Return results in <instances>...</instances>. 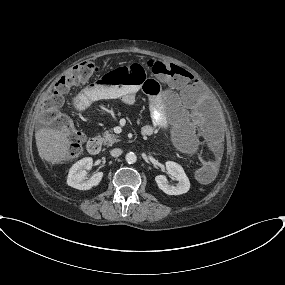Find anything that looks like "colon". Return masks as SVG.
<instances>
[{
	"instance_id": "colon-1",
	"label": "colon",
	"mask_w": 285,
	"mask_h": 285,
	"mask_svg": "<svg viewBox=\"0 0 285 285\" xmlns=\"http://www.w3.org/2000/svg\"><path fill=\"white\" fill-rule=\"evenodd\" d=\"M145 69L163 80H174L182 73V69L174 64L148 60L144 63L131 62L128 65L104 73L99 85L103 87H122L128 83L139 85L150 98H158L160 89L156 81L146 80ZM97 72L92 61H82L62 76L47 92L40 102V116L43 119L59 123L71 131L74 139L67 149L69 157L80 154L84 138L71 130L70 125L63 118V104L65 94L69 89L85 80L90 79ZM196 119V117H194ZM216 172V166L208 162H201L196 171L201 181H209Z\"/></svg>"
}]
</instances>
